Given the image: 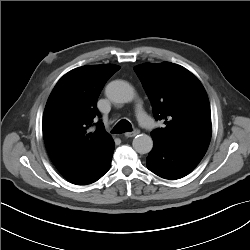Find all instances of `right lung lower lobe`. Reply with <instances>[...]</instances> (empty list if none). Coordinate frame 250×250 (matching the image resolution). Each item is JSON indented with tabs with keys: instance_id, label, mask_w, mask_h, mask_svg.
I'll list each match as a JSON object with an SVG mask.
<instances>
[{
	"instance_id": "obj_1",
	"label": "right lung lower lobe",
	"mask_w": 250,
	"mask_h": 250,
	"mask_svg": "<svg viewBox=\"0 0 250 250\" xmlns=\"http://www.w3.org/2000/svg\"><path fill=\"white\" fill-rule=\"evenodd\" d=\"M113 152L114 142L112 141L91 159L70 171L62 173V175L76 185L93 183L110 169Z\"/></svg>"
}]
</instances>
